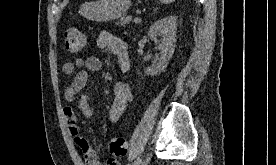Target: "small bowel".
<instances>
[{"mask_svg": "<svg viewBox=\"0 0 276 165\" xmlns=\"http://www.w3.org/2000/svg\"><path fill=\"white\" fill-rule=\"evenodd\" d=\"M97 45L100 49L108 50L116 56L119 67L123 73L130 68V58L128 45L117 35L102 31L97 38ZM102 63L99 58L90 56L86 59L76 58L68 61L63 65V72L70 77V81L64 88V97L67 101H73L79 94V109L82 114L90 118L92 109L89 104V97L86 93H81L88 82L89 71H99ZM133 93L130 86L124 81H118L114 85V99L109 108L108 118L110 122H117L123 115L127 104L132 101ZM64 117L68 130L73 137L75 144L79 147L85 160V165H102L98 160L96 151L91 147L88 141L80 135L77 116L71 107L64 108ZM105 165H119V161L112 157L109 158Z\"/></svg>", "mask_w": 276, "mask_h": 165, "instance_id": "c3829d8e", "label": "small bowel"}]
</instances>
